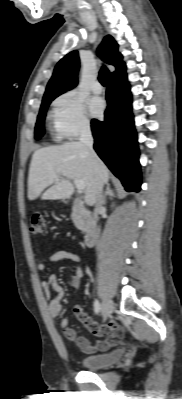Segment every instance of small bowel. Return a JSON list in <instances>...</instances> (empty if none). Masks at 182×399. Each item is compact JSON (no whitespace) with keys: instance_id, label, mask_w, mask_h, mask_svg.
<instances>
[{"instance_id":"obj_1","label":"small bowel","mask_w":182,"mask_h":399,"mask_svg":"<svg viewBox=\"0 0 182 399\" xmlns=\"http://www.w3.org/2000/svg\"><path fill=\"white\" fill-rule=\"evenodd\" d=\"M63 260H69L74 263L76 271L75 275L70 279V281L74 286H79L82 278L85 275L80 256L76 253L63 249H55L54 252L51 253L47 258L49 263H55ZM37 269L39 271H44L46 269V264L42 262L38 263ZM41 286L44 290L46 299L50 301L48 304V312L50 316L52 318L60 317L63 313L61 300L64 297V290L57 283L56 276L54 274H50L46 280L42 281ZM53 293L56 294V297L51 299ZM74 313L92 335L102 338L96 343H92L87 338L78 336L76 331L69 327L68 319L62 318L60 321V329L63 336L66 338V340L78 346L84 353L93 354L100 351H106L109 348L117 345L122 339L123 327L117 321L111 320L105 325H100L90 318L80 307H76L74 309Z\"/></svg>"}]
</instances>
